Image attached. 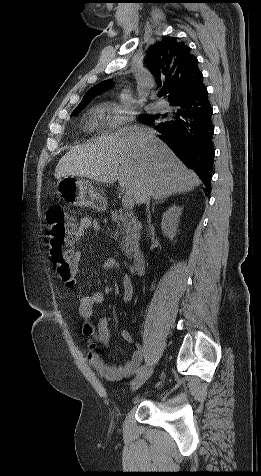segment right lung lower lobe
<instances>
[{"instance_id": "1", "label": "right lung lower lobe", "mask_w": 261, "mask_h": 476, "mask_svg": "<svg viewBox=\"0 0 261 476\" xmlns=\"http://www.w3.org/2000/svg\"><path fill=\"white\" fill-rule=\"evenodd\" d=\"M171 105L177 108L175 115L163 116L155 129L185 165L198 174L208 189L215 155L214 126L212 107L203 80L194 92ZM149 123L154 125V121Z\"/></svg>"}]
</instances>
